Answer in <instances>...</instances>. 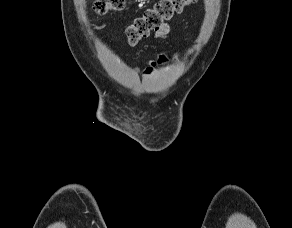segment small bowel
<instances>
[{"instance_id": "1", "label": "small bowel", "mask_w": 292, "mask_h": 228, "mask_svg": "<svg viewBox=\"0 0 292 228\" xmlns=\"http://www.w3.org/2000/svg\"><path fill=\"white\" fill-rule=\"evenodd\" d=\"M169 32V26L165 23L162 25V27L156 32L155 36L156 38H162L166 36Z\"/></svg>"}]
</instances>
